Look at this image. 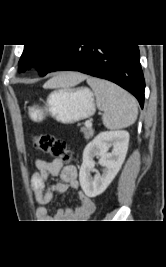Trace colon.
<instances>
[{
  "label": "colon",
  "instance_id": "5ec220e1",
  "mask_svg": "<svg viewBox=\"0 0 166 267\" xmlns=\"http://www.w3.org/2000/svg\"><path fill=\"white\" fill-rule=\"evenodd\" d=\"M33 146L40 151L51 154L53 157L62 159L66 163L72 160L73 154L66 143L52 135H35L33 137Z\"/></svg>",
  "mask_w": 166,
  "mask_h": 267
}]
</instances>
